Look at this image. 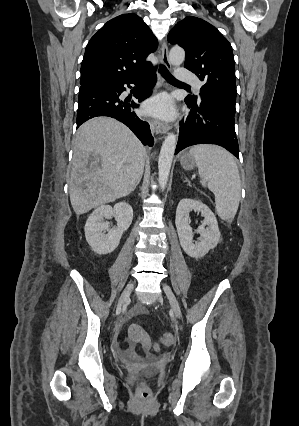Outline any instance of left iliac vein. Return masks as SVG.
I'll use <instances>...</instances> for the list:
<instances>
[{"mask_svg":"<svg viewBox=\"0 0 299 426\" xmlns=\"http://www.w3.org/2000/svg\"><path fill=\"white\" fill-rule=\"evenodd\" d=\"M163 290L168 297V300L170 302L171 308H172L175 316L177 318H181L180 306H179V303H178L174 293L172 292L171 288L167 285H163Z\"/></svg>","mask_w":299,"mask_h":426,"instance_id":"left-iliac-vein-1","label":"left iliac vein"}]
</instances>
